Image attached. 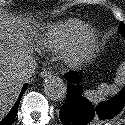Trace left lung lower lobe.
I'll return each instance as SVG.
<instances>
[{
    "instance_id": "obj_1",
    "label": "left lung lower lobe",
    "mask_w": 125,
    "mask_h": 125,
    "mask_svg": "<svg viewBox=\"0 0 125 125\" xmlns=\"http://www.w3.org/2000/svg\"><path fill=\"white\" fill-rule=\"evenodd\" d=\"M67 97L59 111V118L65 125H96L116 116L125 106V88L113 99L92 106L81 93V74L71 71L65 74Z\"/></svg>"
}]
</instances>
